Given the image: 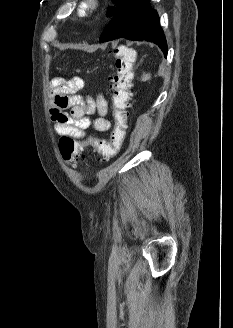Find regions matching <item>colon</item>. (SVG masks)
I'll return each instance as SVG.
<instances>
[{
    "instance_id": "colon-1",
    "label": "colon",
    "mask_w": 233,
    "mask_h": 328,
    "mask_svg": "<svg viewBox=\"0 0 233 328\" xmlns=\"http://www.w3.org/2000/svg\"><path fill=\"white\" fill-rule=\"evenodd\" d=\"M116 72L111 76L113 129L109 140L91 139L89 143L100 160L113 158L123 145L127 133V119L134 79L135 55L123 48L114 52ZM59 151L64 162L72 168L80 167L87 158L86 143L71 136H62Z\"/></svg>"
}]
</instances>
